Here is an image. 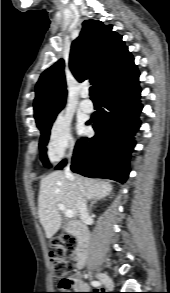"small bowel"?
I'll use <instances>...</instances> for the list:
<instances>
[{
    "label": "small bowel",
    "mask_w": 170,
    "mask_h": 293,
    "mask_svg": "<svg viewBox=\"0 0 170 293\" xmlns=\"http://www.w3.org/2000/svg\"><path fill=\"white\" fill-rule=\"evenodd\" d=\"M75 282L76 284L74 285V289H84L86 288L85 285H83L82 281L80 280V278L78 276L75 277Z\"/></svg>",
    "instance_id": "obj_1"
}]
</instances>
